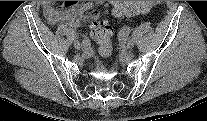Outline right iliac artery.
Listing matches in <instances>:
<instances>
[{
    "label": "right iliac artery",
    "instance_id": "82829eb1",
    "mask_svg": "<svg viewBox=\"0 0 207 121\" xmlns=\"http://www.w3.org/2000/svg\"><path fill=\"white\" fill-rule=\"evenodd\" d=\"M90 42H89V39L88 38H85L83 41H82V46L84 49H86L88 46H89Z\"/></svg>",
    "mask_w": 207,
    "mask_h": 121
}]
</instances>
